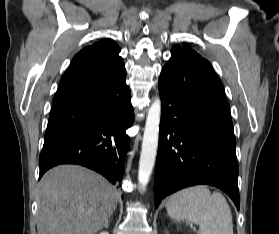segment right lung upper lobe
I'll return each mask as SVG.
<instances>
[{
	"label": "right lung upper lobe",
	"mask_w": 279,
	"mask_h": 234,
	"mask_svg": "<svg viewBox=\"0 0 279 234\" xmlns=\"http://www.w3.org/2000/svg\"><path fill=\"white\" fill-rule=\"evenodd\" d=\"M120 48L111 39L85 47L73 58L54 96L71 94L105 82L124 70Z\"/></svg>",
	"instance_id": "right-lung-upper-lobe-1"
}]
</instances>
